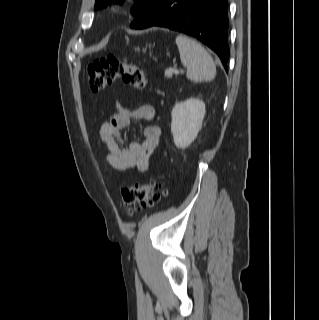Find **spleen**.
<instances>
[{"instance_id":"3e777b00","label":"spleen","mask_w":319,"mask_h":320,"mask_svg":"<svg viewBox=\"0 0 319 320\" xmlns=\"http://www.w3.org/2000/svg\"><path fill=\"white\" fill-rule=\"evenodd\" d=\"M182 64L187 68V78L196 81H211L216 75V66L205 48L185 35L176 37Z\"/></svg>"}]
</instances>
